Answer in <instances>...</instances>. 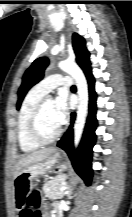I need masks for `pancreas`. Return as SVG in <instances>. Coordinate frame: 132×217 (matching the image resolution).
<instances>
[{"label": "pancreas", "instance_id": "1", "mask_svg": "<svg viewBox=\"0 0 132 217\" xmlns=\"http://www.w3.org/2000/svg\"><path fill=\"white\" fill-rule=\"evenodd\" d=\"M66 176L65 175H59L55 178H51L43 185V192L46 197L50 199H58L62 198L66 192L60 191V188L65 183Z\"/></svg>", "mask_w": 132, "mask_h": 217}]
</instances>
